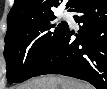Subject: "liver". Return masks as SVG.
<instances>
[{"label":"liver","instance_id":"liver-1","mask_svg":"<svg viewBox=\"0 0 107 89\" xmlns=\"http://www.w3.org/2000/svg\"><path fill=\"white\" fill-rule=\"evenodd\" d=\"M15 89H93L85 82L64 76H42L17 86Z\"/></svg>","mask_w":107,"mask_h":89}]
</instances>
